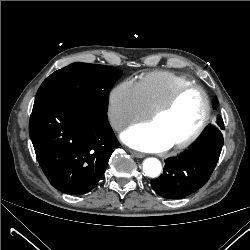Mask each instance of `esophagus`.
<instances>
[{
	"instance_id": "34e87169",
	"label": "esophagus",
	"mask_w": 250,
	"mask_h": 250,
	"mask_svg": "<svg viewBox=\"0 0 250 250\" xmlns=\"http://www.w3.org/2000/svg\"><path fill=\"white\" fill-rule=\"evenodd\" d=\"M130 153L137 158H143L145 156L143 153H140L134 150H131Z\"/></svg>"
}]
</instances>
